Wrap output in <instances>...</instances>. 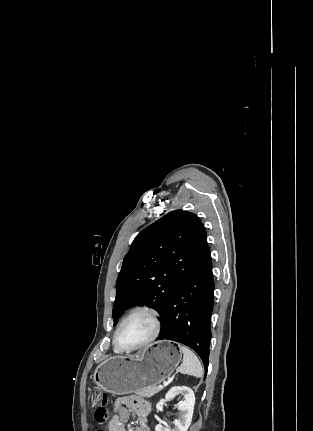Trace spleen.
Returning <instances> with one entry per match:
<instances>
[{
  "label": "spleen",
  "instance_id": "spleen-1",
  "mask_svg": "<svg viewBox=\"0 0 313 431\" xmlns=\"http://www.w3.org/2000/svg\"><path fill=\"white\" fill-rule=\"evenodd\" d=\"M180 351L183 353V362L179 367V372L181 374L202 378L204 370L198 357L185 346H181Z\"/></svg>",
  "mask_w": 313,
  "mask_h": 431
}]
</instances>
